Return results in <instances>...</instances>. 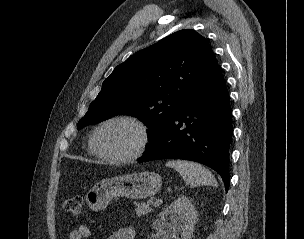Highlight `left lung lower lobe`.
<instances>
[{"mask_svg": "<svg viewBox=\"0 0 304 239\" xmlns=\"http://www.w3.org/2000/svg\"><path fill=\"white\" fill-rule=\"evenodd\" d=\"M231 113L226 84L216 63L138 162L177 158L205 164L221 175L227 192Z\"/></svg>", "mask_w": 304, "mask_h": 239, "instance_id": "obj_1", "label": "left lung lower lobe"}]
</instances>
